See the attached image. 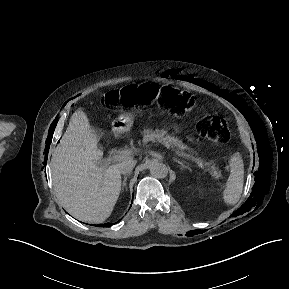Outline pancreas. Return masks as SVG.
<instances>
[{"label": "pancreas", "instance_id": "pancreas-1", "mask_svg": "<svg viewBox=\"0 0 289 289\" xmlns=\"http://www.w3.org/2000/svg\"><path fill=\"white\" fill-rule=\"evenodd\" d=\"M144 133V139L143 141L147 143L148 141L152 142H160L162 144H169L171 147H173V150L176 153L180 154H186L190 158H197L196 157V152L190 150L187 145H185L182 141H180L177 138H174L173 136L166 135L165 131L162 130H151V129H145L143 131ZM200 159V158H197ZM201 160V159H200ZM205 166L207 167V171L214 177V178H219L221 176V172L218 169V167L211 163L207 162L205 163Z\"/></svg>", "mask_w": 289, "mask_h": 289}]
</instances>
